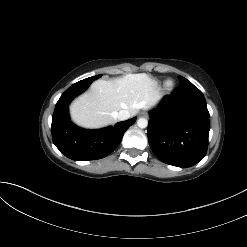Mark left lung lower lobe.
Listing matches in <instances>:
<instances>
[{
  "label": "left lung lower lobe",
  "mask_w": 247,
  "mask_h": 247,
  "mask_svg": "<svg viewBox=\"0 0 247 247\" xmlns=\"http://www.w3.org/2000/svg\"><path fill=\"white\" fill-rule=\"evenodd\" d=\"M150 117L149 144L162 162L187 168L206 155L209 112L204 95L191 82L166 95Z\"/></svg>",
  "instance_id": "obj_1"
}]
</instances>
